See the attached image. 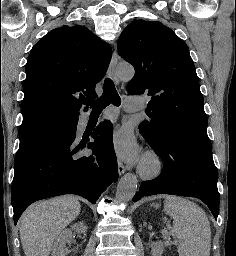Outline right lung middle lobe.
<instances>
[{"instance_id":"obj_1","label":"right lung middle lobe","mask_w":236,"mask_h":256,"mask_svg":"<svg viewBox=\"0 0 236 256\" xmlns=\"http://www.w3.org/2000/svg\"><path fill=\"white\" fill-rule=\"evenodd\" d=\"M77 123L78 119L65 118L55 113H42L24 119L19 129V148L52 133L73 129Z\"/></svg>"}]
</instances>
